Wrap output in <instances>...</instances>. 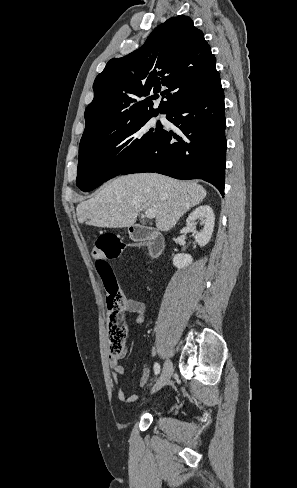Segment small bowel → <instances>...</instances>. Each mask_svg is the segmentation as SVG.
I'll use <instances>...</instances> for the list:
<instances>
[{"instance_id":"1","label":"small bowel","mask_w":297,"mask_h":488,"mask_svg":"<svg viewBox=\"0 0 297 488\" xmlns=\"http://www.w3.org/2000/svg\"><path fill=\"white\" fill-rule=\"evenodd\" d=\"M127 311L135 314L137 324L141 325L144 322L145 305L142 301L128 298ZM125 354H126V348H124V351L119 356H111L110 367H111L112 381L116 387V393L118 399L125 404H130L137 401L139 399V395L133 394L127 396L119 384V376L124 373V367L120 365L119 361L125 356ZM149 377H150V370L146 367L143 368L139 380V386L144 387L148 383Z\"/></svg>"}]
</instances>
